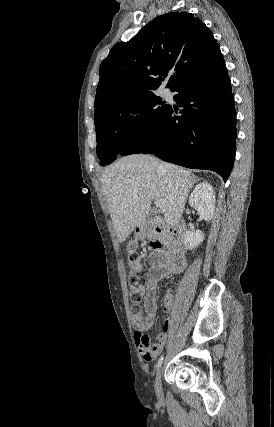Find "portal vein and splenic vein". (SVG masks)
<instances>
[{
  "mask_svg": "<svg viewBox=\"0 0 274 427\" xmlns=\"http://www.w3.org/2000/svg\"><path fill=\"white\" fill-rule=\"evenodd\" d=\"M155 206H156V208H159V210H162L163 204H162L161 200H156Z\"/></svg>",
  "mask_w": 274,
  "mask_h": 427,
  "instance_id": "1",
  "label": "portal vein and splenic vein"
}]
</instances>
